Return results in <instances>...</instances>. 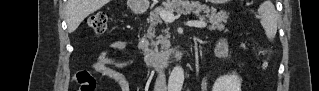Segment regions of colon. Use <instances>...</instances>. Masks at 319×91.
Returning <instances> with one entry per match:
<instances>
[{
    "label": "colon",
    "mask_w": 319,
    "mask_h": 91,
    "mask_svg": "<svg viewBox=\"0 0 319 91\" xmlns=\"http://www.w3.org/2000/svg\"><path fill=\"white\" fill-rule=\"evenodd\" d=\"M109 17L104 12H97L88 17L86 21L87 28L95 35H104L107 32ZM267 54L269 51L266 52ZM269 60H266L265 66L268 67ZM82 91H93L95 89V80L86 73H81L78 77Z\"/></svg>",
    "instance_id": "1"
}]
</instances>
